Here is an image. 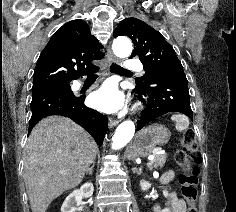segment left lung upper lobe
<instances>
[{
    "mask_svg": "<svg viewBox=\"0 0 236 212\" xmlns=\"http://www.w3.org/2000/svg\"><path fill=\"white\" fill-rule=\"evenodd\" d=\"M128 36L135 49L131 58L138 56L143 64L145 75L135 79L136 87H147L153 78L169 70L183 66L165 38L145 22L136 18L122 20L113 36Z\"/></svg>",
    "mask_w": 236,
    "mask_h": 212,
    "instance_id": "obj_1",
    "label": "left lung upper lobe"
}]
</instances>
